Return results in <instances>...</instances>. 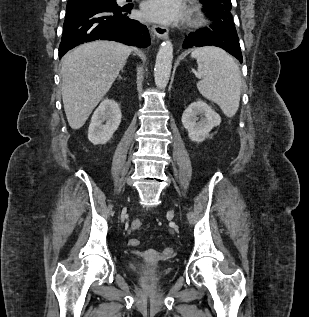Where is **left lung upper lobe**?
<instances>
[{"label":"left lung upper lobe","mask_w":309,"mask_h":317,"mask_svg":"<svg viewBox=\"0 0 309 317\" xmlns=\"http://www.w3.org/2000/svg\"><path fill=\"white\" fill-rule=\"evenodd\" d=\"M204 5V12L212 18L217 30H230L236 32L231 14L230 0H200Z\"/></svg>","instance_id":"5c2ea615"}]
</instances>
